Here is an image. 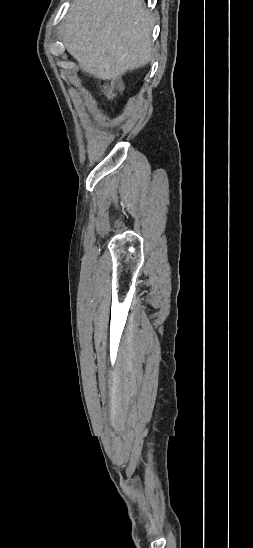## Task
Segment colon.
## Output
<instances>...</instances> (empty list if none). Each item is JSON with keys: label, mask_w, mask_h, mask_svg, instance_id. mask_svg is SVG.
I'll return each instance as SVG.
<instances>
[{"label": "colon", "mask_w": 253, "mask_h": 548, "mask_svg": "<svg viewBox=\"0 0 253 548\" xmlns=\"http://www.w3.org/2000/svg\"><path fill=\"white\" fill-rule=\"evenodd\" d=\"M101 88L108 97H112L120 89V84L118 81H112L109 85H103Z\"/></svg>", "instance_id": "5ec220e1"}]
</instances>
